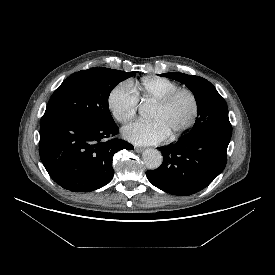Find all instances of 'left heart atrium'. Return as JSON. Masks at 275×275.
<instances>
[{"label":"left heart atrium","mask_w":275,"mask_h":275,"mask_svg":"<svg viewBox=\"0 0 275 275\" xmlns=\"http://www.w3.org/2000/svg\"><path fill=\"white\" fill-rule=\"evenodd\" d=\"M122 135L136 145H152L166 140L170 133L158 120H137L125 126Z\"/></svg>","instance_id":"39dd6f15"}]
</instances>
